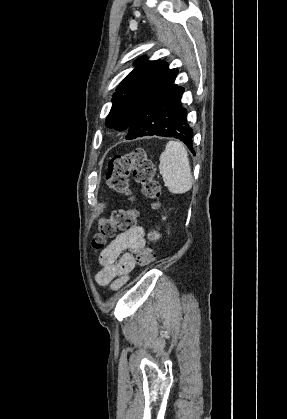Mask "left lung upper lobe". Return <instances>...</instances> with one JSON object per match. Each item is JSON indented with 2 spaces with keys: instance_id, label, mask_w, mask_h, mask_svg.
<instances>
[{
  "instance_id": "5c2ea615",
  "label": "left lung upper lobe",
  "mask_w": 287,
  "mask_h": 419,
  "mask_svg": "<svg viewBox=\"0 0 287 419\" xmlns=\"http://www.w3.org/2000/svg\"><path fill=\"white\" fill-rule=\"evenodd\" d=\"M139 64L120 83L112 99L106 126L128 130L133 115L146 101L173 85L178 70L169 69L165 61L138 60Z\"/></svg>"
}]
</instances>
